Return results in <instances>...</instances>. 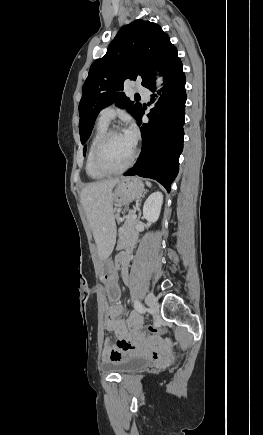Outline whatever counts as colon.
Listing matches in <instances>:
<instances>
[{
	"label": "colon",
	"instance_id": "5ec220e1",
	"mask_svg": "<svg viewBox=\"0 0 263 435\" xmlns=\"http://www.w3.org/2000/svg\"><path fill=\"white\" fill-rule=\"evenodd\" d=\"M149 333L151 334H156L157 332H160L162 335H166L168 332L166 330H163L161 327H158L156 324H147L145 326ZM116 341H119V339L117 338ZM160 341H165L163 338ZM112 339L105 337L102 340V348L103 350H112L113 348V343H112ZM143 351V350H142Z\"/></svg>",
	"mask_w": 263,
	"mask_h": 435
}]
</instances>
